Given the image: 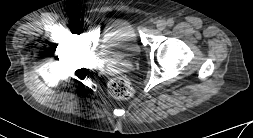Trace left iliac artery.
Here are the masks:
<instances>
[{
	"instance_id": "1",
	"label": "left iliac artery",
	"mask_w": 253,
	"mask_h": 138,
	"mask_svg": "<svg viewBox=\"0 0 253 138\" xmlns=\"http://www.w3.org/2000/svg\"><path fill=\"white\" fill-rule=\"evenodd\" d=\"M166 25L168 27H172L174 25V20L173 19H168L167 22H166Z\"/></svg>"
}]
</instances>
